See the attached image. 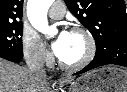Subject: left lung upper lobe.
I'll return each instance as SVG.
<instances>
[{
    "mask_svg": "<svg viewBox=\"0 0 127 92\" xmlns=\"http://www.w3.org/2000/svg\"><path fill=\"white\" fill-rule=\"evenodd\" d=\"M71 13L91 32L96 51L115 40H127L124 0H64Z\"/></svg>",
    "mask_w": 127,
    "mask_h": 92,
    "instance_id": "5c2ea615",
    "label": "left lung upper lobe"
}]
</instances>
